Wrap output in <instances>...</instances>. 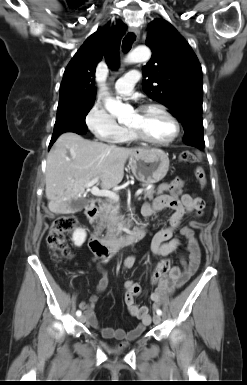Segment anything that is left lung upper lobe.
<instances>
[{"instance_id": "5c2ea615", "label": "left lung upper lobe", "mask_w": 247, "mask_h": 385, "mask_svg": "<svg viewBox=\"0 0 247 385\" xmlns=\"http://www.w3.org/2000/svg\"><path fill=\"white\" fill-rule=\"evenodd\" d=\"M146 45L151 60L142 68L144 92L165 105L183 125L185 133L203 131V79L201 65L187 41L166 20L149 26Z\"/></svg>"}]
</instances>
